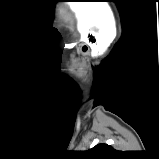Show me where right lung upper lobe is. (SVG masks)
Masks as SVG:
<instances>
[{"instance_id": "obj_1", "label": "right lung upper lobe", "mask_w": 159, "mask_h": 159, "mask_svg": "<svg viewBox=\"0 0 159 159\" xmlns=\"http://www.w3.org/2000/svg\"><path fill=\"white\" fill-rule=\"evenodd\" d=\"M113 150L114 149L107 144H98L92 149H90V151H92L93 153L101 155V156L105 155L106 153L112 152Z\"/></svg>"}]
</instances>
